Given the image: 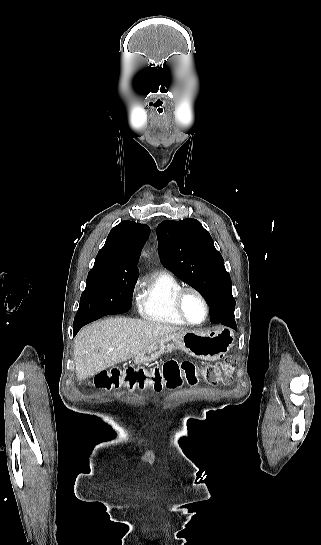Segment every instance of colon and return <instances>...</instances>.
<instances>
[{
	"instance_id": "5ec220e1",
	"label": "colon",
	"mask_w": 321,
	"mask_h": 545,
	"mask_svg": "<svg viewBox=\"0 0 321 545\" xmlns=\"http://www.w3.org/2000/svg\"><path fill=\"white\" fill-rule=\"evenodd\" d=\"M234 364L233 358L205 365H198L191 360H168L152 368L127 367L102 371L95 376L93 383L97 388L107 391L122 386L129 389L151 386L157 391L164 387L176 389L184 383L195 386L200 378L211 385L229 384L233 379Z\"/></svg>"
}]
</instances>
